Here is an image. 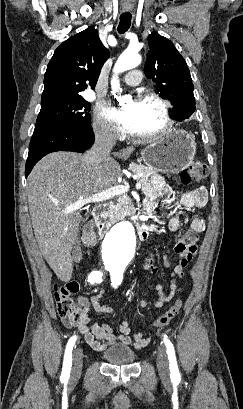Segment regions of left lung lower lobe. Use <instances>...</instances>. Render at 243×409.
<instances>
[{
  "instance_id": "left-lung-lower-lobe-1",
  "label": "left lung lower lobe",
  "mask_w": 243,
  "mask_h": 409,
  "mask_svg": "<svg viewBox=\"0 0 243 409\" xmlns=\"http://www.w3.org/2000/svg\"><path fill=\"white\" fill-rule=\"evenodd\" d=\"M190 116H188V117H179V118H175L176 120H178V121H182V120H184V119H188Z\"/></svg>"
}]
</instances>
